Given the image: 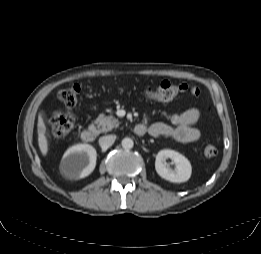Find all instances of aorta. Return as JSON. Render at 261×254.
<instances>
[{"instance_id":"762f6f07","label":"aorta","mask_w":261,"mask_h":254,"mask_svg":"<svg viewBox=\"0 0 261 254\" xmlns=\"http://www.w3.org/2000/svg\"><path fill=\"white\" fill-rule=\"evenodd\" d=\"M121 144H122V147L124 148V149H131V148H133V146H134V142H133V140L131 139V138H124L123 140H122V142H121Z\"/></svg>"}]
</instances>
